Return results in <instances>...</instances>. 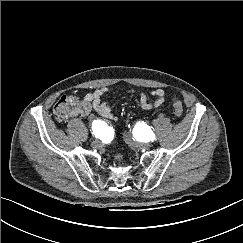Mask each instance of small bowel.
<instances>
[{"instance_id": "obj_1", "label": "small bowel", "mask_w": 243, "mask_h": 243, "mask_svg": "<svg viewBox=\"0 0 243 243\" xmlns=\"http://www.w3.org/2000/svg\"><path fill=\"white\" fill-rule=\"evenodd\" d=\"M111 88L102 87L96 89L94 92L87 94L80 102L73 115L82 114L89 116L93 111L103 118L108 120H115L116 115L113 113L110 104L103 100L104 94H106ZM128 93H137L139 97V103L142 109L150 110L161 106L165 101V92L163 89H153L150 91V95L156 100L152 103L148 100V97L143 92H136L134 89L127 90ZM105 134L107 137H111L112 129L106 125Z\"/></svg>"}]
</instances>
